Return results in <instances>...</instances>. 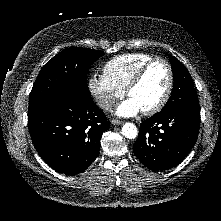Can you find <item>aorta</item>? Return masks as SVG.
<instances>
[{
	"instance_id": "762f6f07",
	"label": "aorta",
	"mask_w": 221,
	"mask_h": 221,
	"mask_svg": "<svg viewBox=\"0 0 221 221\" xmlns=\"http://www.w3.org/2000/svg\"><path fill=\"white\" fill-rule=\"evenodd\" d=\"M122 134L128 139H134L138 134L137 127L133 123H125L122 127Z\"/></svg>"
}]
</instances>
